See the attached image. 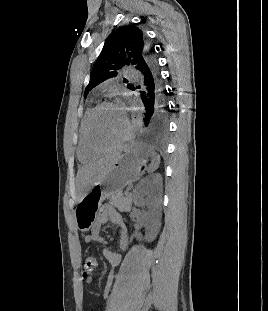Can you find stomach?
Wrapping results in <instances>:
<instances>
[{"mask_svg": "<svg viewBox=\"0 0 268 311\" xmlns=\"http://www.w3.org/2000/svg\"><path fill=\"white\" fill-rule=\"evenodd\" d=\"M147 157L148 149L137 146L126 147L116 157L105 176L91 187L76 206L74 217L79 231L88 232L92 228L98 209L105 199L140 179L141 168L146 164Z\"/></svg>", "mask_w": 268, "mask_h": 311, "instance_id": "1", "label": "stomach"}]
</instances>
